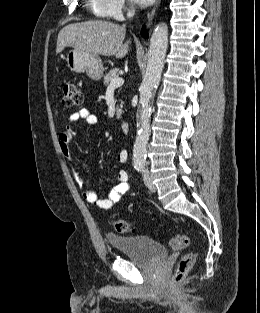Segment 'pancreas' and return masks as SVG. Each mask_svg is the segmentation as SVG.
Wrapping results in <instances>:
<instances>
[{
	"mask_svg": "<svg viewBox=\"0 0 260 313\" xmlns=\"http://www.w3.org/2000/svg\"><path fill=\"white\" fill-rule=\"evenodd\" d=\"M119 69L115 68L112 69L110 72L106 73V75L104 76V84L109 86L110 82L114 79L117 78L119 76L118 73ZM122 104L123 102L120 101V106L117 105L116 108V115H117V119L119 120L121 118V114H122Z\"/></svg>",
	"mask_w": 260,
	"mask_h": 313,
	"instance_id": "1",
	"label": "pancreas"
}]
</instances>
